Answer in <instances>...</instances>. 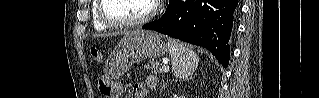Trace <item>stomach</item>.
Instances as JSON below:
<instances>
[{"mask_svg": "<svg viewBox=\"0 0 319 98\" xmlns=\"http://www.w3.org/2000/svg\"><path fill=\"white\" fill-rule=\"evenodd\" d=\"M167 50L162 37L153 31H135L126 34L112 52L106 70L105 96L115 98L119 78L137 62L159 58Z\"/></svg>", "mask_w": 319, "mask_h": 98, "instance_id": "stomach-1", "label": "stomach"}]
</instances>
